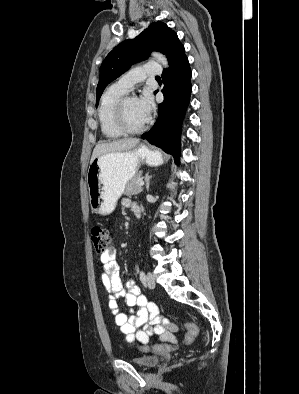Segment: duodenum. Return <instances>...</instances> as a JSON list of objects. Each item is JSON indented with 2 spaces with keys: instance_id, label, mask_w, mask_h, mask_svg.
Masks as SVG:
<instances>
[{
  "instance_id": "1",
  "label": "duodenum",
  "mask_w": 299,
  "mask_h": 394,
  "mask_svg": "<svg viewBox=\"0 0 299 394\" xmlns=\"http://www.w3.org/2000/svg\"><path fill=\"white\" fill-rule=\"evenodd\" d=\"M138 217H140V213H138Z\"/></svg>"
}]
</instances>
